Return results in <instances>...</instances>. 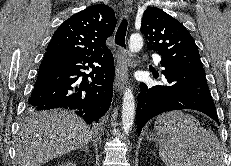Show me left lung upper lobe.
<instances>
[{"instance_id":"obj_1","label":"left lung upper lobe","mask_w":231,"mask_h":166,"mask_svg":"<svg viewBox=\"0 0 231 166\" xmlns=\"http://www.w3.org/2000/svg\"><path fill=\"white\" fill-rule=\"evenodd\" d=\"M147 37L148 49L162 55L172 65L203 67L198 48L188 30L176 19L157 7L144 11L140 29Z\"/></svg>"}]
</instances>
